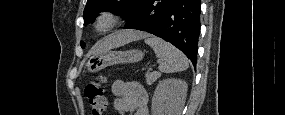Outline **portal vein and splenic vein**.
Here are the masks:
<instances>
[{
    "mask_svg": "<svg viewBox=\"0 0 285 115\" xmlns=\"http://www.w3.org/2000/svg\"><path fill=\"white\" fill-rule=\"evenodd\" d=\"M160 63H162V61L158 60V61H157V64H160ZM153 66H155V64H154Z\"/></svg>",
    "mask_w": 285,
    "mask_h": 115,
    "instance_id": "1",
    "label": "portal vein and splenic vein"
}]
</instances>
